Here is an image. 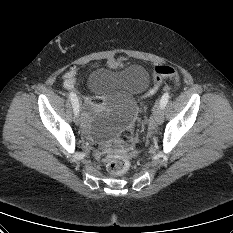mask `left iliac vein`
I'll use <instances>...</instances> for the list:
<instances>
[{
	"instance_id": "4c4485c4",
	"label": "left iliac vein",
	"mask_w": 233,
	"mask_h": 233,
	"mask_svg": "<svg viewBox=\"0 0 233 233\" xmlns=\"http://www.w3.org/2000/svg\"><path fill=\"white\" fill-rule=\"evenodd\" d=\"M153 118L157 124H161L164 121L163 108L161 107V104L158 102L156 103L154 108Z\"/></svg>"
}]
</instances>
